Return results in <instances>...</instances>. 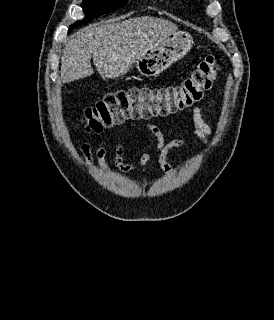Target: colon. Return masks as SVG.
I'll list each match as a JSON object with an SVG mask.
<instances>
[{"label": "colon", "mask_w": 274, "mask_h": 320, "mask_svg": "<svg viewBox=\"0 0 274 320\" xmlns=\"http://www.w3.org/2000/svg\"><path fill=\"white\" fill-rule=\"evenodd\" d=\"M220 67L215 55L204 57L189 78L175 86L132 87L107 93L83 112L87 128L100 133L127 120L164 116L200 101Z\"/></svg>", "instance_id": "colon-1"}]
</instances>
